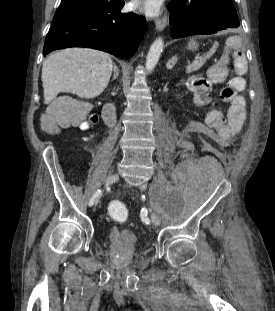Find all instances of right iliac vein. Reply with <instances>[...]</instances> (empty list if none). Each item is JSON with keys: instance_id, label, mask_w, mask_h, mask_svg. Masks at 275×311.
<instances>
[{"instance_id": "1", "label": "right iliac vein", "mask_w": 275, "mask_h": 311, "mask_svg": "<svg viewBox=\"0 0 275 311\" xmlns=\"http://www.w3.org/2000/svg\"><path fill=\"white\" fill-rule=\"evenodd\" d=\"M118 179H119V174H118V173H111V174L107 177V179H106V181H105V185H106V186H109V185L115 183ZM98 202H99V197L96 199L95 205L98 204Z\"/></svg>"}]
</instances>
